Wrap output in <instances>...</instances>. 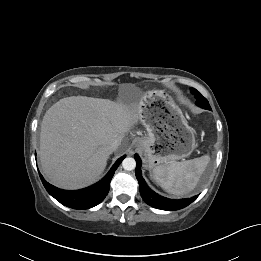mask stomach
Listing matches in <instances>:
<instances>
[{"label": "stomach", "instance_id": "obj_1", "mask_svg": "<svg viewBox=\"0 0 261 261\" xmlns=\"http://www.w3.org/2000/svg\"><path fill=\"white\" fill-rule=\"evenodd\" d=\"M140 121L147 135L136 140L149 169L188 157L196 147L194 130L181 109L162 90L146 93L142 99Z\"/></svg>", "mask_w": 261, "mask_h": 261}]
</instances>
